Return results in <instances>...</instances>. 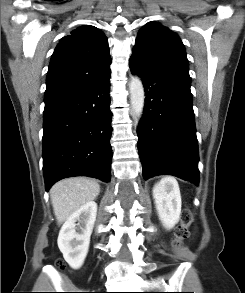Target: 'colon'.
I'll return each mask as SVG.
<instances>
[{
	"label": "colon",
	"mask_w": 245,
	"mask_h": 293,
	"mask_svg": "<svg viewBox=\"0 0 245 293\" xmlns=\"http://www.w3.org/2000/svg\"><path fill=\"white\" fill-rule=\"evenodd\" d=\"M193 221V216L190 211H185L182 217L181 224L176 228L174 235V245L180 246L182 242L189 237L190 232L188 227Z\"/></svg>",
	"instance_id": "5ec220e1"
}]
</instances>
